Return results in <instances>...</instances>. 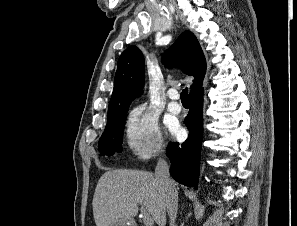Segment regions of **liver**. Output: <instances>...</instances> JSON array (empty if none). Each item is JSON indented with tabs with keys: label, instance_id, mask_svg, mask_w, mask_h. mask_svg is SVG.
Returning a JSON list of instances; mask_svg holds the SVG:
<instances>
[{
	"label": "liver",
	"instance_id": "6515ba94",
	"mask_svg": "<svg viewBox=\"0 0 297 226\" xmlns=\"http://www.w3.org/2000/svg\"><path fill=\"white\" fill-rule=\"evenodd\" d=\"M142 205L159 226L166 224L165 193L155 175L147 171L115 169L99 179L93 201L96 226H112L137 215Z\"/></svg>",
	"mask_w": 297,
	"mask_h": 226
}]
</instances>
